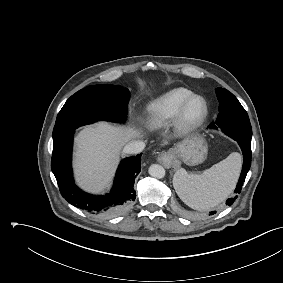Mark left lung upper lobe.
<instances>
[{"mask_svg": "<svg viewBox=\"0 0 283 283\" xmlns=\"http://www.w3.org/2000/svg\"><path fill=\"white\" fill-rule=\"evenodd\" d=\"M216 94L219 100V114L216 122L211 123L210 127L221 130L234 140L251 139L252 128L247 112L228 90L217 88Z\"/></svg>", "mask_w": 283, "mask_h": 283, "instance_id": "obj_1", "label": "left lung upper lobe"}]
</instances>
